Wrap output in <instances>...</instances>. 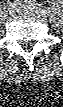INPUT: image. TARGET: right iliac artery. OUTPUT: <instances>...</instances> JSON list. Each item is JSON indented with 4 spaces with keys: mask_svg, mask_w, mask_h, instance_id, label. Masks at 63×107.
Wrapping results in <instances>:
<instances>
[{
    "mask_svg": "<svg viewBox=\"0 0 63 107\" xmlns=\"http://www.w3.org/2000/svg\"><path fill=\"white\" fill-rule=\"evenodd\" d=\"M10 6H14V5H12V3H11L10 1H8V2H7V7H8V9H9Z\"/></svg>",
    "mask_w": 63,
    "mask_h": 107,
    "instance_id": "obj_1",
    "label": "right iliac artery"
}]
</instances>
